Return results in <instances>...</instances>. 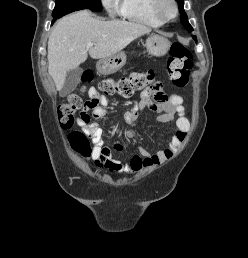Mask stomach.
<instances>
[{
	"mask_svg": "<svg viewBox=\"0 0 248 258\" xmlns=\"http://www.w3.org/2000/svg\"><path fill=\"white\" fill-rule=\"evenodd\" d=\"M145 46L148 54L161 57L170 49V42L168 39L154 34L147 38ZM126 60L125 52L120 51L110 57L100 59L96 67L99 73L109 75L120 70L126 64Z\"/></svg>",
	"mask_w": 248,
	"mask_h": 258,
	"instance_id": "obj_1",
	"label": "stomach"
}]
</instances>
